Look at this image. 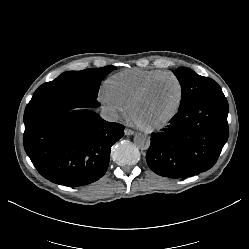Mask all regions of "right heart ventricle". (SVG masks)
Returning a JSON list of instances; mask_svg holds the SVG:
<instances>
[{
	"instance_id": "e07e8e85",
	"label": "right heart ventricle",
	"mask_w": 249,
	"mask_h": 249,
	"mask_svg": "<svg viewBox=\"0 0 249 249\" xmlns=\"http://www.w3.org/2000/svg\"><path fill=\"white\" fill-rule=\"evenodd\" d=\"M163 72L165 71L162 69L132 68L123 70L110 76L104 83V89L111 96L129 106L141 87L152 77Z\"/></svg>"
}]
</instances>
